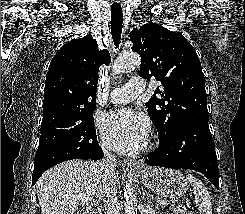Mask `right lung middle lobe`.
<instances>
[{"instance_id": "obj_1", "label": "right lung middle lobe", "mask_w": 245, "mask_h": 214, "mask_svg": "<svg viewBox=\"0 0 245 214\" xmlns=\"http://www.w3.org/2000/svg\"><path fill=\"white\" fill-rule=\"evenodd\" d=\"M97 144L92 112L58 128L41 131L34 169L50 167L71 159H86L90 148Z\"/></svg>"}]
</instances>
